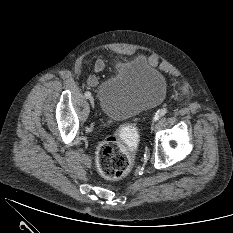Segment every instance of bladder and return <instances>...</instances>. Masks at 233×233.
Here are the masks:
<instances>
[{
  "label": "bladder",
  "mask_w": 233,
  "mask_h": 233,
  "mask_svg": "<svg viewBox=\"0 0 233 233\" xmlns=\"http://www.w3.org/2000/svg\"><path fill=\"white\" fill-rule=\"evenodd\" d=\"M166 93L164 75L136 57L119 63L115 75L98 86L97 99L108 118L126 120L160 104Z\"/></svg>",
  "instance_id": "bladder-1"
}]
</instances>
